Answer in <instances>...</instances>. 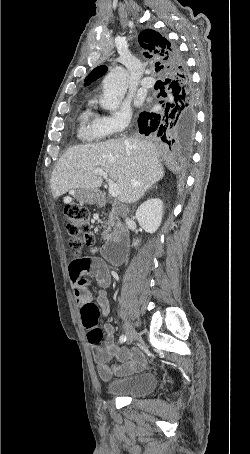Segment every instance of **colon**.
Listing matches in <instances>:
<instances>
[{
    "label": "colon",
    "instance_id": "obj_1",
    "mask_svg": "<svg viewBox=\"0 0 250 454\" xmlns=\"http://www.w3.org/2000/svg\"><path fill=\"white\" fill-rule=\"evenodd\" d=\"M65 215L68 220L67 231L69 234V245L76 251L84 246L92 247L94 236L91 232L88 210L76 203H69L65 207ZM81 319L84 327L88 330L87 338L91 344H97L102 340L103 332L97 326L100 310L94 303H88L80 309Z\"/></svg>",
    "mask_w": 250,
    "mask_h": 454
}]
</instances>
